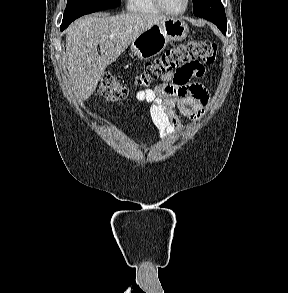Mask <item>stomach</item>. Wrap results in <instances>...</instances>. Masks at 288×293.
<instances>
[{"mask_svg": "<svg viewBox=\"0 0 288 293\" xmlns=\"http://www.w3.org/2000/svg\"><path fill=\"white\" fill-rule=\"evenodd\" d=\"M188 33L189 27L182 19L166 17L132 41L131 56L145 60L150 59L160 54L169 41H182Z\"/></svg>", "mask_w": 288, "mask_h": 293, "instance_id": "0dacf381", "label": "stomach"}]
</instances>
